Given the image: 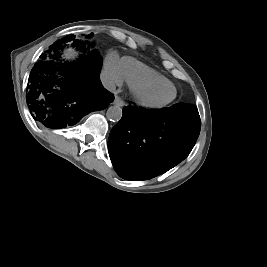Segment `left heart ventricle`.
Returning a JSON list of instances; mask_svg holds the SVG:
<instances>
[{"instance_id":"b2bd125f","label":"left heart ventricle","mask_w":267,"mask_h":267,"mask_svg":"<svg viewBox=\"0 0 267 267\" xmlns=\"http://www.w3.org/2000/svg\"><path fill=\"white\" fill-rule=\"evenodd\" d=\"M173 94V88L168 85L149 88L144 92V96L153 102L167 101L173 96Z\"/></svg>"}]
</instances>
